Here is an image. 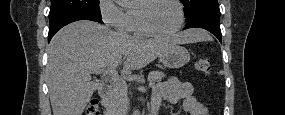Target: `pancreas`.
Returning a JSON list of instances; mask_svg holds the SVG:
<instances>
[{
  "instance_id": "1",
  "label": "pancreas",
  "mask_w": 285,
  "mask_h": 115,
  "mask_svg": "<svg viewBox=\"0 0 285 115\" xmlns=\"http://www.w3.org/2000/svg\"><path fill=\"white\" fill-rule=\"evenodd\" d=\"M165 77L164 72L152 71L148 75L150 83L161 81ZM127 86L113 84L112 90L104 99V107L106 108L107 115H121L127 108Z\"/></svg>"
}]
</instances>
